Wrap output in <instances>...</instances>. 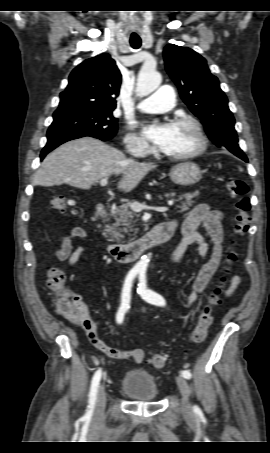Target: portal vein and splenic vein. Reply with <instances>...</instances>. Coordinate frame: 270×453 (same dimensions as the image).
<instances>
[{
    "label": "portal vein and splenic vein",
    "mask_w": 270,
    "mask_h": 453,
    "mask_svg": "<svg viewBox=\"0 0 270 453\" xmlns=\"http://www.w3.org/2000/svg\"><path fill=\"white\" fill-rule=\"evenodd\" d=\"M108 183V179L107 178H103L100 180V185L101 186H105L106 184ZM168 204L169 205H172L173 204V201H168ZM131 209L134 211V212H141L143 209H147V210H155V211H158V212H165L168 210V207H152V206H146L144 204H140L138 202H134L131 204Z\"/></svg>",
    "instance_id": "obj_1"
}]
</instances>
